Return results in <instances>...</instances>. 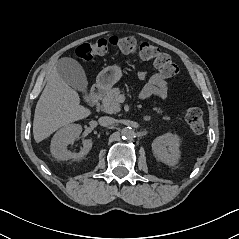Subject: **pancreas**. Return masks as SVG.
Instances as JSON below:
<instances>
[{"label":"pancreas","instance_id":"1","mask_svg":"<svg viewBox=\"0 0 239 239\" xmlns=\"http://www.w3.org/2000/svg\"><path fill=\"white\" fill-rule=\"evenodd\" d=\"M121 91L119 88L111 89L107 95L102 100L101 108L104 112L109 114H116L120 111V104L118 102V96L120 95ZM154 110L158 114H165L163 119L166 121H170V117L159 107H154Z\"/></svg>","mask_w":239,"mask_h":239}]
</instances>
